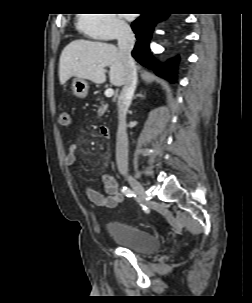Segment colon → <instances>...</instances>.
Here are the masks:
<instances>
[{"mask_svg":"<svg viewBox=\"0 0 252 303\" xmlns=\"http://www.w3.org/2000/svg\"><path fill=\"white\" fill-rule=\"evenodd\" d=\"M60 124L64 127H69L71 125L70 113L63 111L60 114Z\"/></svg>","mask_w":252,"mask_h":303,"instance_id":"5ec220e1","label":"colon"}]
</instances>
